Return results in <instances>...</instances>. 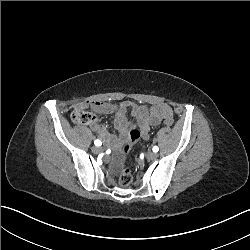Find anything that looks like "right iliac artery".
I'll return each instance as SVG.
<instances>
[{
    "mask_svg": "<svg viewBox=\"0 0 250 250\" xmlns=\"http://www.w3.org/2000/svg\"><path fill=\"white\" fill-rule=\"evenodd\" d=\"M94 144H95L96 146H101V145H102V142H101L100 140H95V141H94Z\"/></svg>",
    "mask_w": 250,
    "mask_h": 250,
    "instance_id": "82829eb1",
    "label": "right iliac artery"
}]
</instances>
